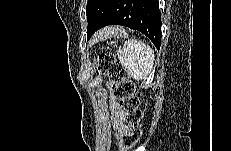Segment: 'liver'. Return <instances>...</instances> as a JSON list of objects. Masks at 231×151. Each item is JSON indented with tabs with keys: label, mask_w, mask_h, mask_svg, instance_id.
<instances>
[{
	"label": "liver",
	"mask_w": 231,
	"mask_h": 151,
	"mask_svg": "<svg viewBox=\"0 0 231 151\" xmlns=\"http://www.w3.org/2000/svg\"><path fill=\"white\" fill-rule=\"evenodd\" d=\"M120 30L119 27H108L97 33L98 37H106L111 34H116Z\"/></svg>",
	"instance_id": "liver-1"
}]
</instances>
